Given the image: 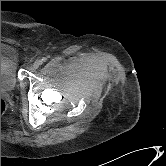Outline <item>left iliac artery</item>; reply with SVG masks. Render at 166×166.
I'll use <instances>...</instances> for the list:
<instances>
[{
    "mask_svg": "<svg viewBox=\"0 0 166 166\" xmlns=\"http://www.w3.org/2000/svg\"><path fill=\"white\" fill-rule=\"evenodd\" d=\"M46 60H47V58H46V57H43V58L41 59V63L46 62Z\"/></svg>",
    "mask_w": 166,
    "mask_h": 166,
    "instance_id": "44dca946",
    "label": "left iliac artery"
}]
</instances>
